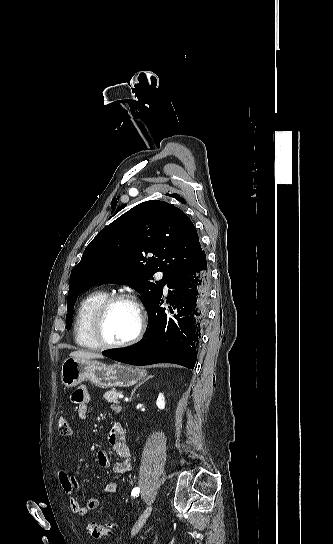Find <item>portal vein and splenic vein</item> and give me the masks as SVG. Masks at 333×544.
Returning <instances> with one entry per match:
<instances>
[{"mask_svg": "<svg viewBox=\"0 0 333 544\" xmlns=\"http://www.w3.org/2000/svg\"><path fill=\"white\" fill-rule=\"evenodd\" d=\"M118 398L122 399V398H124V395H123L122 393H120V394L118 395Z\"/></svg>", "mask_w": 333, "mask_h": 544, "instance_id": "obj_1", "label": "portal vein and splenic vein"}]
</instances>
